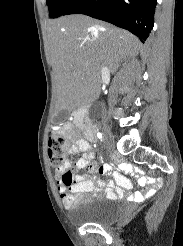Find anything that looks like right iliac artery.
Masks as SVG:
<instances>
[{
    "label": "right iliac artery",
    "mask_w": 183,
    "mask_h": 246,
    "mask_svg": "<svg viewBox=\"0 0 183 246\" xmlns=\"http://www.w3.org/2000/svg\"><path fill=\"white\" fill-rule=\"evenodd\" d=\"M97 137L101 140L103 139L102 134L100 132L97 133Z\"/></svg>",
    "instance_id": "1"
}]
</instances>
